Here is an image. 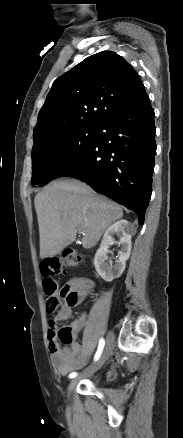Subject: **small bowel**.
Masks as SVG:
<instances>
[{
    "instance_id": "c3829d8e",
    "label": "small bowel",
    "mask_w": 183,
    "mask_h": 438,
    "mask_svg": "<svg viewBox=\"0 0 183 438\" xmlns=\"http://www.w3.org/2000/svg\"><path fill=\"white\" fill-rule=\"evenodd\" d=\"M67 285L78 293V304L91 293L94 286L90 279L84 277L73 278ZM72 307L74 306L65 303L57 313L55 321H66L70 319ZM86 321L87 315L83 313L78 319L71 323L70 326L73 328L74 335L82 331ZM48 340L52 363L61 375L68 374L85 362L86 353L78 342L72 340L70 343H64L65 346H61L57 334L53 329L48 331Z\"/></svg>"
}]
</instances>
